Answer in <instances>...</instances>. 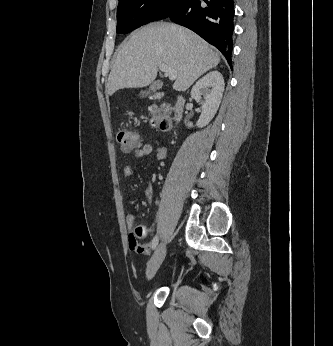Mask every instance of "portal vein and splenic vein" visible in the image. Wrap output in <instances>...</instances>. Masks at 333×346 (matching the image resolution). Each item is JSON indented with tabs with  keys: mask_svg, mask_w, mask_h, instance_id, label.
Instances as JSON below:
<instances>
[{
	"mask_svg": "<svg viewBox=\"0 0 333 346\" xmlns=\"http://www.w3.org/2000/svg\"><path fill=\"white\" fill-rule=\"evenodd\" d=\"M159 69L164 72L165 76H168L171 81L177 78V73L174 69L168 67L165 64H160Z\"/></svg>",
	"mask_w": 333,
	"mask_h": 346,
	"instance_id": "obj_1",
	"label": "portal vein and splenic vein"
}]
</instances>
